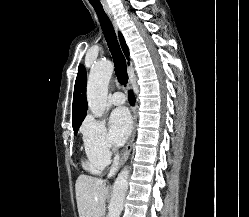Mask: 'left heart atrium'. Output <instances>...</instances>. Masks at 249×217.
<instances>
[{"mask_svg": "<svg viewBox=\"0 0 249 217\" xmlns=\"http://www.w3.org/2000/svg\"><path fill=\"white\" fill-rule=\"evenodd\" d=\"M132 126L131 116L125 108L115 109L110 116L111 137L115 144L121 145L127 139Z\"/></svg>", "mask_w": 249, "mask_h": 217, "instance_id": "39dd6f15", "label": "left heart atrium"}]
</instances>
